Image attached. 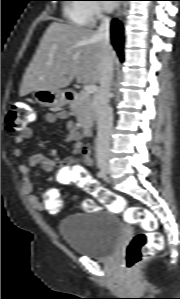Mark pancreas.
<instances>
[{
    "label": "pancreas",
    "instance_id": "obj_1",
    "mask_svg": "<svg viewBox=\"0 0 180 299\" xmlns=\"http://www.w3.org/2000/svg\"><path fill=\"white\" fill-rule=\"evenodd\" d=\"M70 108L76 113L78 126L88 129L95 121L93 98L86 93H79L71 102Z\"/></svg>",
    "mask_w": 180,
    "mask_h": 299
}]
</instances>
